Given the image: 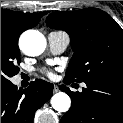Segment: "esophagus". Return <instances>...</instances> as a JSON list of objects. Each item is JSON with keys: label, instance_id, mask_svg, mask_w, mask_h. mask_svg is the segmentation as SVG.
<instances>
[{"label": "esophagus", "instance_id": "esophagus-1", "mask_svg": "<svg viewBox=\"0 0 123 123\" xmlns=\"http://www.w3.org/2000/svg\"><path fill=\"white\" fill-rule=\"evenodd\" d=\"M58 90H59L58 86L57 85H54L53 92L56 93V92H58Z\"/></svg>", "mask_w": 123, "mask_h": 123}]
</instances>
